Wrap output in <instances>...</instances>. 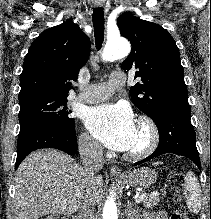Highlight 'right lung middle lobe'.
I'll use <instances>...</instances> for the list:
<instances>
[{"instance_id":"obj_1","label":"right lung middle lobe","mask_w":211,"mask_h":219,"mask_svg":"<svg viewBox=\"0 0 211 219\" xmlns=\"http://www.w3.org/2000/svg\"><path fill=\"white\" fill-rule=\"evenodd\" d=\"M66 97H36L19 101L20 131L38 124H54L66 129L74 128V119L68 115Z\"/></svg>"}]
</instances>
